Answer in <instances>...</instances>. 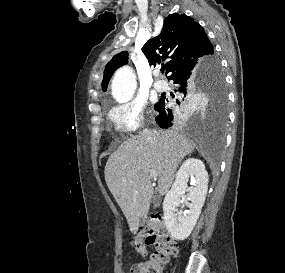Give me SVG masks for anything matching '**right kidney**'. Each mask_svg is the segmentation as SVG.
<instances>
[{
    "label": "right kidney",
    "mask_w": 285,
    "mask_h": 273,
    "mask_svg": "<svg viewBox=\"0 0 285 273\" xmlns=\"http://www.w3.org/2000/svg\"><path fill=\"white\" fill-rule=\"evenodd\" d=\"M191 178V186L188 181ZM208 190V173L201 160L187 159L176 173L175 182L166 194L163 202L164 222L171 236L176 240H185L191 234L200 216ZM186 194L189 210L178 212L181 195Z\"/></svg>",
    "instance_id": "obj_1"
}]
</instances>
